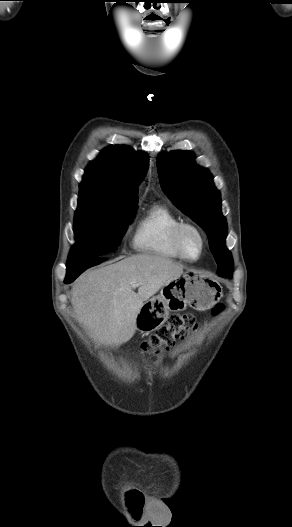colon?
<instances>
[{
	"label": "colon",
	"instance_id": "5ec220e1",
	"mask_svg": "<svg viewBox=\"0 0 292 527\" xmlns=\"http://www.w3.org/2000/svg\"><path fill=\"white\" fill-rule=\"evenodd\" d=\"M222 310L217 306L213 314H218ZM196 328L195 318L191 314L173 315L168 322L156 330L147 340L142 343L144 351H165L177 340H184L191 331ZM133 503L138 511L141 507L142 500L140 496L133 495Z\"/></svg>",
	"mask_w": 292,
	"mask_h": 527
}]
</instances>
